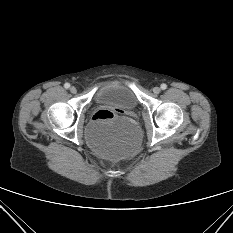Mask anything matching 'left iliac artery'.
<instances>
[{
    "label": "left iliac artery",
    "mask_w": 233,
    "mask_h": 233,
    "mask_svg": "<svg viewBox=\"0 0 233 233\" xmlns=\"http://www.w3.org/2000/svg\"><path fill=\"white\" fill-rule=\"evenodd\" d=\"M160 87H161L162 90H165L167 88V85L163 83V84H161Z\"/></svg>",
    "instance_id": "left-iliac-artery-1"
}]
</instances>
